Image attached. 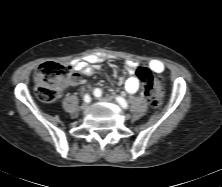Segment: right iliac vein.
<instances>
[{
	"label": "right iliac vein",
	"mask_w": 222,
	"mask_h": 187,
	"mask_svg": "<svg viewBox=\"0 0 222 187\" xmlns=\"http://www.w3.org/2000/svg\"><path fill=\"white\" fill-rule=\"evenodd\" d=\"M89 107V104L87 102H84L82 105H81V110H87Z\"/></svg>",
	"instance_id": "1"
}]
</instances>
